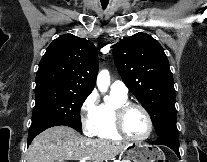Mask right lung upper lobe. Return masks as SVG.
Returning <instances> with one entry per match:
<instances>
[{
	"label": "right lung upper lobe",
	"instance_id": "obj_1",
	"mask_svg": "<svg viewBox=\"0 0 207 162\" xmlns=\"http://www.w3.org/2000/svg\"><path fill=\"white\" fill-rule=\"evenodd\" d=\"M97 72V50L93 43L64 34L46 49L36 74V88L58 87L90 94Z\"/></svg>",
	"mask_w": 207,
	"mask_h": 162
}]
</instances>
